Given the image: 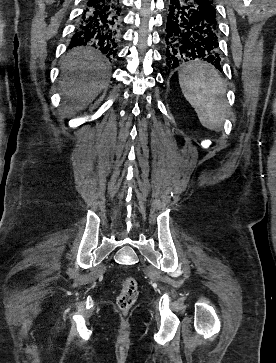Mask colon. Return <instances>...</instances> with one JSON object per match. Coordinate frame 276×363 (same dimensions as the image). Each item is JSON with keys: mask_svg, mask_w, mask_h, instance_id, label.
I'll return each instance as SVG.
<instances>
[{"mask_svg": "<svg viewBox=\"0 0 276 363\" xmlns=\"http://www.w3.org/2000/svg\"><path fill=\"white\" fill-rule=\"evenodd\" d=\"M139 294L137 281L127 276L122 280V290L117 298V305L120 311L126 314L135 303Z\"/></svg>", "mask_w": 276, "mask_h": 363, "instance_id": "5ec220e1", "label": "colon"}]
</instances>
